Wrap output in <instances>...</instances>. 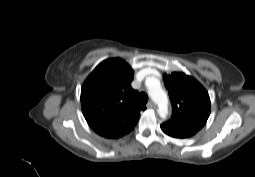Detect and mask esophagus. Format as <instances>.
I'll list each match as a JSON object with an SVG mask.
<instances>
[{
	"label": "esophagus",
	"instance_id": "34e87169",
	"mask_svg": "<svg viewBox=\"0 0 255 177\" xmlns=\"http://www.w3.org/2000/svg\"><path fill=\"white\" fill-rule=\"evenodd\" d=\"M154 107H155V104H154L152 101H149V102L147 103V108L152 109V108H154Z\"/></svg>",
	"mask_w": 255,
	"mask_h": 177
}]
</instances>
